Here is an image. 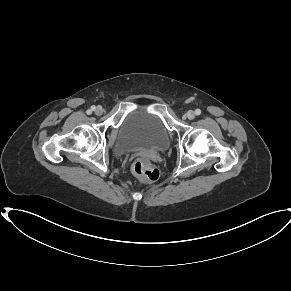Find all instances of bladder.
<instances>
[{
	"label": "bladder",
	"mask_w": 291,
	"mask_h": 291,
	"mask_svg": "<svg viewBox=\"0 0 291 291\" xmlns=\"http://www.w3.org/2000/svg\"><path fill=\"white\" fill-rule=\"evenodd\" d=\"M170 133L162 119L147 110L131 112L120 126L113 151L126 154L132 151H159L169 145Z\"/></svg>",
	"instance_id": "bladder-1"
}]
</instances>
